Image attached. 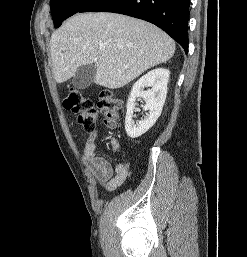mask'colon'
<instances>
[{"mask_svg": "<svg viewBox=\"0 0 247 257\" xmlns=\"http://www.w3.org/2000/svg\"><path fill=\"white\" fill-rule=\"evenodd\" d=\"M63 103L66 109L76 115L77 122L87 131L95 127L98 113L103 115L107 124L113 125L121 112V103L110 90L100 92L97 108L90 98L76 88L68 90Z\"/></svg>", "mask_w": 247, "mask_h": 257, "instance_id": "1", "label": "colon"}]
</instances>
